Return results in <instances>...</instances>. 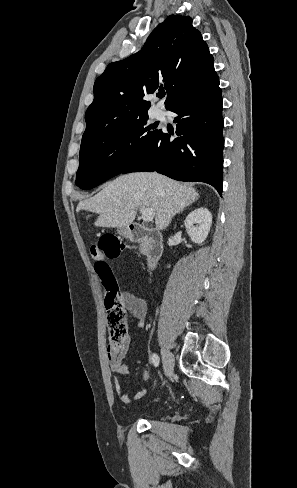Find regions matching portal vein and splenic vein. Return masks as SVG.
Wrapping results in <instances>:
<instances>
[{"label":"portal vein and splenic vein","instance_id":"18ae733b","mask_svg":"<svg viewBox=\"0 0 297 488\" xmlns=\"http://www.w3.org/2000/svg\"><path fill=\"white\" fill-rule=\"evenodd\" d=\"M140 212L142 219L146 222L152 221L154 218V209L153 208H142L140 207Z\"/></svg>","mask_w":297,"mask_h":488}]
</instances>
